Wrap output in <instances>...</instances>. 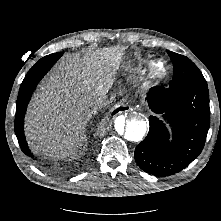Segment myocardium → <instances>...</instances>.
I'll return each mask as SVG.
<instances>
[{
	"mask_svg": "<svg viewBox=\"0 0 221 221\" xmlns=\"http://www.w3.org/2000/svg\"><path fill=\"white\" fill-rule=\"evenodd\" d=\"M162 63L164 65V70L162 72H158L157 65ZM170 72V66L168 62L163 58H157L151 61L149 66V77L154 81H163L165 80Z\"/></svg>",
	"mask_w": 221,
	"mask_h": 221,
	"instance_id": "f54148a6",
	"label": "myocardium"
}]
</instances>
